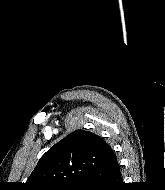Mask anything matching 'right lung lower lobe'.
Instances as JSON below:
<instances>
[{
	"label": "right lung lower lobe",
	"instance_id": "obj_1",
	"mask_svg": "<svg viewBox=\"0 0 165 190\" xmlns=\"http://www.w3.org/2000/svg\"><path fill=\"white\" fill-rule=\"evenodd\" d=\"M80 190H123L117 158L87 172L81 179Z\"/></svg>",
	"mask_w": 165,
	"mask_h": 190
}]
</instances>
